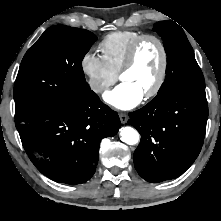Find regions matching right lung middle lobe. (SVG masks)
<instances>
[{
  "label": "right lung middle lobe",
  "instance_id": "1",
  "mask_svg": "<svg viewBox=\"0 0 221 221\" xmlns=\"http://www.w3.org/2000/svg\"><path fill=\"white\" fill-rule=\"evenodd\" d=\"M97 37L56 25L26 52L14 85L15 118L74 100L90 90L82 60Z\"/></svg>",
  "mask_w": 221,
  "mask_h": 221
}]
</instances>
